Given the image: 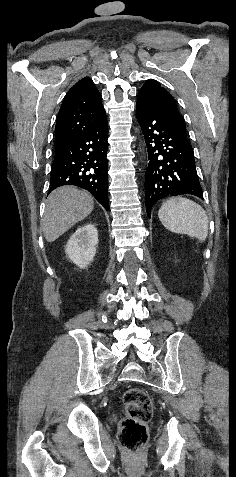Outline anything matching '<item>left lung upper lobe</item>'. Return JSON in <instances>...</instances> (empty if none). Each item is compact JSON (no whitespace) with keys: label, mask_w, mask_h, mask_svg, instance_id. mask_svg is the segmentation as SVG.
Listing matches in <instances>:
<instances>
[{"label":"left lung upper lobe","mask_w":236,"mask_h":477,"mask_svg":"<svg viewBox=\"0 0 236 477\" xmlns=\"http://www.w3.org/2000/svg\"><path fill=\"white\" fill-rule=\"evenodd\" d=\"M139 94L144 95L173 126L186 135L185 121L177 109L174 98L157 81L147 80Z\"/></svg>","instance_id":"left-lung-upper-lobe-1"}]
</instances>
